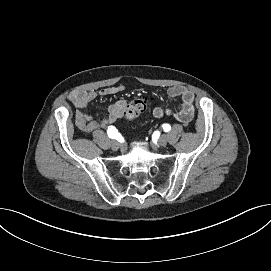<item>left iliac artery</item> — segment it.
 <instances>
[{
  "mask_svg": "<svg viewBox=\"0 0 271 271\" xmlns=\"http://www.w3.org/2000/svg\"><path fill=\"white\" fill-rule=\"evenodd\" d=\"M163 129L165 132H168V131H170L171 126L169 124H163Z\"/></svg>",
  "mask_w": 271,
  "mask_h": 271,
  "instance_id": "obj_1",
  "label": "left iliac artery"
}]
</instances>
